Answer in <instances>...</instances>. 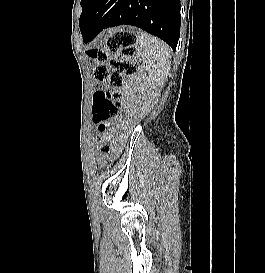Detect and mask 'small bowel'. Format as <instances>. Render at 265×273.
<instances>
[{"instance_id":"c3829d8e","label":"small bowel","mask_w":265,"mask_h":273,"mask_svg":"<svg viewBox=\"0 0 265 273\" xmlns=\"http://www.w3.org/2000/svg\"><path fill=\"white\" fill-rule=\"evenodd\" d=\"M113 136V135H112ZM112 143L114 144V138H113V141H112Z\"/></svg>"}]
</instances>
